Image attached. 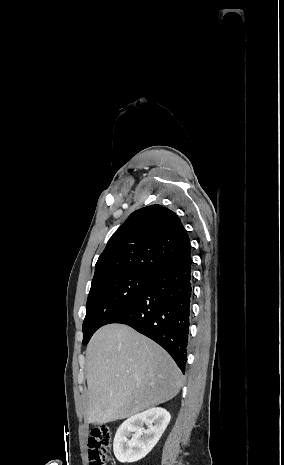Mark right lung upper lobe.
Here are the masks:
<instances>
[{
	"mask_svg": "<svg viewBox=\"0 0 284 465\" xmlns=\"http://www.w3.org/2000/svg\"><path fill=\"white\" fill-rule=\"evenodd\" d=\"M190 239L177 215L161 205L134 211L99 256L92 284L125 274L155 276L190 252Z\"/></svg>",
	"mask_w": 284,
	"mask_h": 465,
	"instance_id": "cb5924a9",
	"label": "right lung upper lobe"
}]
</instances>
